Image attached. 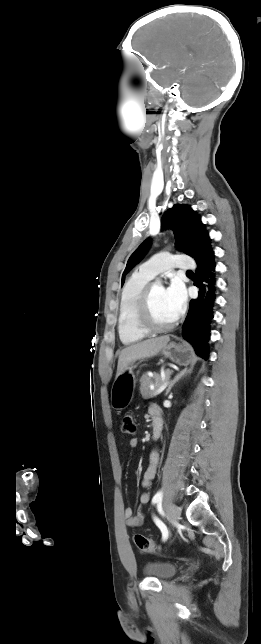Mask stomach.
<instances>
[{"label": "stomach", "mask_w": 261, "mask_h": 644, "mask_svg": "<svg viewBox=\"0 0 261 644\" xmlns=\"http://www.w3.org/2000/svg\"><path fill=\"white\" fill-rule=\"evenodd\" d=\"M160 353L180 366L189 365L194 358L193 350L187 343L170 342ZM135 365L131 363L124 372L115 378L111 388V406L115 410L125 409L134 397L136 377Z\"/></svg>", "instance_id": "1"}]
</instances>
